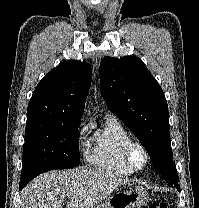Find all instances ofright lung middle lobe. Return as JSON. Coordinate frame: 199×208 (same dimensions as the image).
Instances as JSON below:
<instances>
[{
  "mask_svg": "<svg viewBox=\"0 0 199 208\" xmlns=\"http://www.w3.org/2000/svg\"><path fill=\"white\" fill-rule=\"evenodd\" d=\"M79 126L80 121L27 118L21 179L79 165Z\"/></svg>",
  "mask_w": 199,
  "mask_h": 208,
  "instance_id": "obj_1",
  "label": "right lung middle lobe"
}]
</instances>
